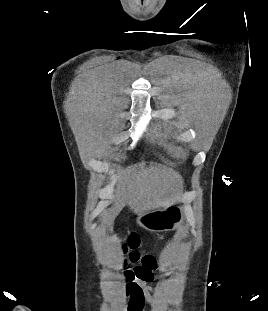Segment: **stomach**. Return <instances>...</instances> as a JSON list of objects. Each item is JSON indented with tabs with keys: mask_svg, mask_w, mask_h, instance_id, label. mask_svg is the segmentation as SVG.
Segmentation results:
<instances>
[{
	"mask_svg": "<svg viewBox=\"0 0 268 311\" xmlns=\"http://www.w3.org/2000/svg\"><path fill=\"white\" fill-rule=\"evenodd\" d=\"M136 222L140 227L151 232L172 231L184 224L185 215L183 207L170 204L140 214Z\"/></svg>",
	"mask_w": 268,
	"mask_h": 311,
	"instance_id": "stomach-1",
	"label": "stomach"
}]
</instances>
